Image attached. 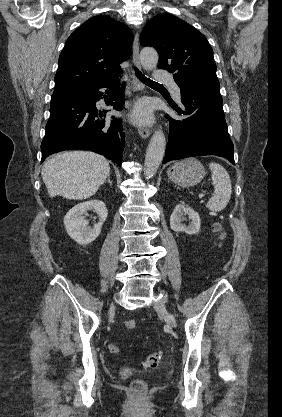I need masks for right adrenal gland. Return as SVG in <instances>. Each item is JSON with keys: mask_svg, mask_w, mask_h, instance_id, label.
<instances>
[{"mask_svg": "<svg viewBox=\"0 0 282 417\" xmlns=\"http://www.w3.org/2000/svg\"><path fill=\"white\" fill-rule=\"evenodd\" d=\"M107 182H109V184H112V180H111L110 176H107Z\"/></svg>", "mask_w": 282, "mask_h": 417, "instance_id": "obj_1", "label": "right adrenal gland"}]
</instances>
